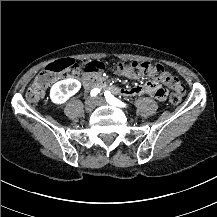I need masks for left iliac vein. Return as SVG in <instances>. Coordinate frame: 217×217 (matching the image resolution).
<instances>
[{
	"mask_svg": "<svg viewBox=\"0 0 217 217\" xmlns=\"http://www.w3.org/2000/svg\"><path fill=\"white\" fill-rule=\"evenodd\" d=\"M96 101L99 104H104L105 103V101L102 98H97Z\"/></svg>",
	"mask_w": 217,
	"mask_h": 217,
	"instance_id": "left-iliac-vein-1",
	"label": "left iliac vein"
}]
</instances>
